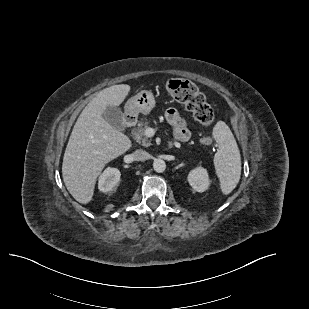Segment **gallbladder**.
Instances as JSON below:
<instances>
[{
  "mask_svg": "<svg viewBox=\"0 0 309 309\" xmlns=\"http://www.w3.org/2000/svg\"><path fill=\"white\" fill-rule=\"evenodd\" d=\"M103 118L119 131H123L126 127L122 111L117 106H108L103 112Z\"/></svg>",
  "mask_w": 309,
  "mask_h": 309,
  "instance_id": "obj_1",
  "label": "gallbladder"
}]
</instances>
